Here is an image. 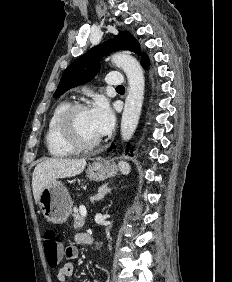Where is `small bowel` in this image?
Wrapping results in <instances>:
<instances>
[{
    "label": "small bowel",
    "mask_w": 232,
    "mask_h": 282,
    "mask_svg": "<svg viewBox=\"0 0 232 282\" xmlns=\"http://www.w3.org/2000/svg\"><path fill=\"white\" fill-rule=\"evenodd\" d=\"M89 235L85 233H78L74 237V242L77 245L87 244L89 240ZM67 254L65 259L67 262L61 266L57 271V280L58 282H67V279L71 277L74 273V265L71 260L75 259L78 255V250L75 246L66 248ZM94 282H102L100 278L94 280Z\"/></svg>",
    "instance_id": "c3829d8e"
}]
</instances>
